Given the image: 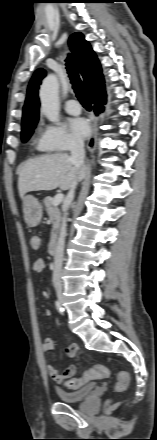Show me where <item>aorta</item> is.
Masks as SVG:
<instances>
[{"label":"aorta","mask_w":157,"mask_h":440,"mask_svg":"<svg viewBox=\"0 0 157 440\" xmlns=\"http://www.w3.org/2000/svg\"><path fill=\"white\" fill-rule=\"evenodd\" d=\"M59 83L56 75H48L42 82L39 97L41 111L53 123L59 122Z\"/></svg>","instance_id":"762f6f07"}]
</instances>
